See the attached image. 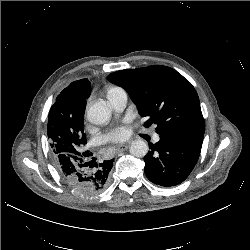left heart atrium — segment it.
<instances>
[{"mask_svg": "<svg viewBox=\"0 0 250 250\" xmlns=\"http://www.w3.org/2000/svg\"><path fill=\"white\" fill-rule=\"evenodd\" d=\"M129 130L125 125H117L109 130L102 139L106 142H122L129 137Z\"/></svg>", "mask_w": 250, "mask_h": 250, "instance_id": "39dd6f15", "label": "left heart atrium"}]
</instances>
